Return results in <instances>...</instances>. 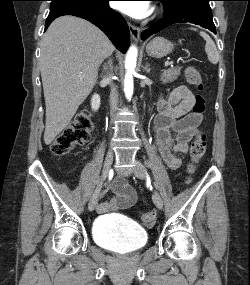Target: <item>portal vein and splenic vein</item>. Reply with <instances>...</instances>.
<instances>
[{"mask_svg": "<svg viewBox=\"0 0 250 285\" xmlns=\"http://www.w3.org/2000/svg\"><path fill=\"white\" fill-rule=\"evenodd\" d=\"M169 65H172V62H166V63H165V66H166V67L169 66Z\"/></svg>", "mask_w": 250, "mask_h": 285, "instance_id": "obj_1", "label": "portal vein and splenic vein"}]
</instances>
